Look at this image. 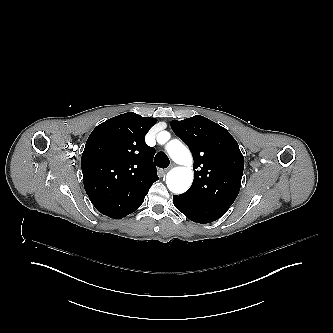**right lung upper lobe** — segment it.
Returning <instances> with one entry per match:
<instances>
[{
	"instance_id": "obj_1",
	"label": "right lung upper lobe",
	"mask_w": 333,
	"mask_h": 333,
	"mask_svg": "<svg viewBox=\"0 0 333 333\" xmlns=\"http://www.w3.org/2000/svg\"><path fill=\"white\" fill-rule=\"evenodd\" d=\"M156 122L155 118L129 112L99 124L86 142L81 168L103 159L116 177H157L155 149L145 143V135Z\"/></svg>"
}]
</instances>
